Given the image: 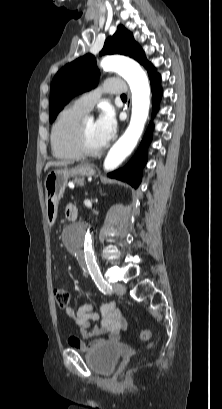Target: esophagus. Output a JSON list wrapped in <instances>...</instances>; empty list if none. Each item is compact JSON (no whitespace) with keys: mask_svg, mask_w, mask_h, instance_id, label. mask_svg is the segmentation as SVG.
Instances as JSON below:
<instances>
[{"mask_svg":"<svg viewBox=\"0 0 222 409\" xmlns=\"http://www.w3.org/2000/svg\"><path fill=\"white\" fill-rule=\"evenodd\" d=\"M130 107H131V97H130V93H128V100H127V113H128V118H129ZM128 118H127V120H128Z\"/></svg>","mask_w":222,"mask_h":409,"instance_id":"1","label":"esophagus"}]
</instances>
